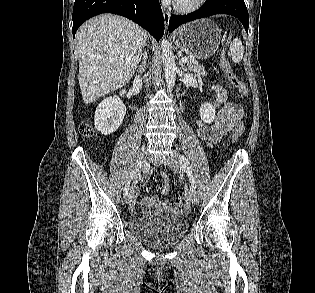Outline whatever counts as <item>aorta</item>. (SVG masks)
<instances>
[{
	"label": "aorta",
	"mask_w": 315,
	"mask_h": 293,
	"mask_svg": "<svg viewBox=\"0 0 315 293\" xmlns=\"http://www.w3.org/2000/svg\"><path fill=\"white\" fill-rule=\"evenodd\" d=\"M161 50H162L161 58L163 61L165 80L168 87H173L176 80L175 57L172 52L171 44L164 37L161 40Z\"/></svg>",
	"instance_id": "762f6f07"
}]
</instances>
